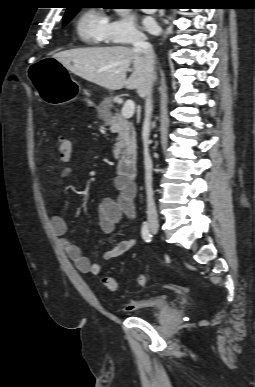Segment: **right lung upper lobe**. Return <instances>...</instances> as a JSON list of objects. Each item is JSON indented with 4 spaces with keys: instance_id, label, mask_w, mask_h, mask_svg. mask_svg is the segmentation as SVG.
I'll return each instance as SVG.
<instances>
[{
    "instance_id": "cb5924a9",
    "label": "right lung upper lobe",
    "mask_w": 255,
    "mask_h": 387,
    "mask_svg": "<svg viewBox=\"0 0 255 387\" xmlns=\"http://www.w3.org/2000/svg\"><path fill=\"white\" fill-rule=\"evenodd\" d=\"M69 9H72V8H67V11H68ZM67 11H66V12H67Z\"/></svg>"
}]
</instances>
